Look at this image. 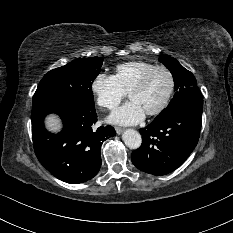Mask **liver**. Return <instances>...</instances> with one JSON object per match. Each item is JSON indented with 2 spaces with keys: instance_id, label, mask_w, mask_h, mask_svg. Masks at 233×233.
Segmentation results:
<instances>
[{
  "instance_id": "1",
  "label": "liver",
  "mask_w": 233,
  "mask_h": 233,
  "mask_svg": "<svg viewBox=\"0 0 233 233\" xmlns=\"http://www.w3.org/2000/svg\"><path fill=\"white\" fill-rule=\"evenodd\" d=\"M46 127L49 131L57 132L61 128L59 118L54 115H50L46 118Z\"/></svg>"
}]
</instances>
